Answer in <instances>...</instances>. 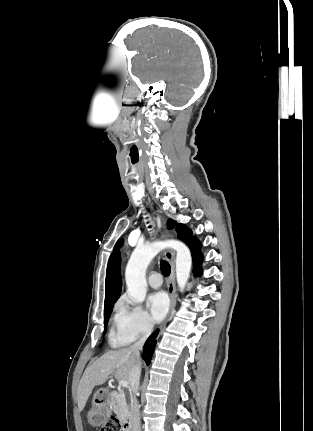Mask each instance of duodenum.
Returning a JSON list of instances; mask_svg holds the SVG:
<instances>
[{
  "label": "duodenum",
  "mask_w": 313,
  "mask_h": 431,
  "mask_svg": "<svg viewBox=\"0 0 313 431\" xmlns=\"http://www.w3.org/2000/svg\"><path fill=\"white\" fill-rule=\"evenodd\" d=\"M124 431H137L135 419L131 414H128L123 419Z\"/></svg>",
  "instance_id": "1"
}]
</instances>
